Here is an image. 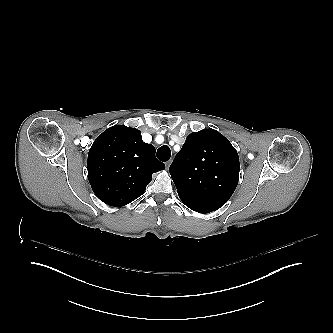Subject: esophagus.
I'll return each mask as SVG.
<instances>
[{
	"instance_id": "obj_1",
	"label": "esophagus",
	"mask_w": 333,
	"mask_h": 333,
	"mask_svg": "<svg viewBox=\"0 0 333 333\" xmlns=\"http://www.w3.org/2000/svg\"><path fill=\"white\" fill-rule=\"evenodd\" d=\"M170 164H171V161H168V162L166 163V168H167V169H169Z\"/></svg>"
}]
</instances>
